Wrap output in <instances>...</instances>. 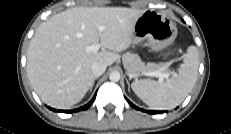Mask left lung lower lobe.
<instances>
[{
	"mask_svg": "<svg viewBox=\"0 0 231 134\" xmlns=\"http://www.w3.org/2000/svg\"><path fill=\"white\" fill-rule=\"evenodd\" d=\"M127 101H128V103H129L132 107H134L135 109L141 110V109H139L138 107H136L134 104H132L129 100H127ZM145 112L150 113V114H159V113H161V112H159V111H148V110H146Z\"/></svg>",
	"mask_w": 231,
	"mask_h": 134,
	"instance_id": "0a47b994",
	"label": "left lung lower lobe"
}]
</instances>
